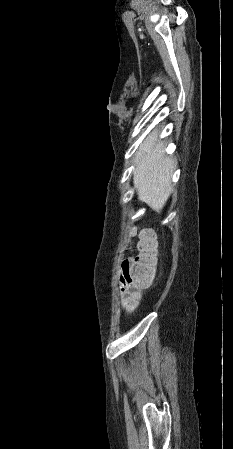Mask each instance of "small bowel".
I'll return each mask as SVG.
<instances>
[{
	"label": "small bowel",
	"instance_id": "1",
	"mask_svg": "<svg viewBox=\"0 0 233 449\" xmlns=\"http://www.w3.org/2000/svg\"><path fill=\"white\" fill-rule=\"evenodd\" d=\"M120 291L123 294H130L131 293V285L127 279V274L126 272L123 270H121V274H120Z\"/></svg>",
	"mask_w": 233,
	"mask_h": 449
}]
</instances>
